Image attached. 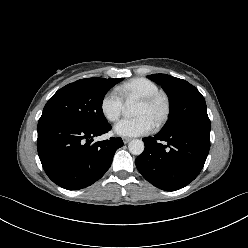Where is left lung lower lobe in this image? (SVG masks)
I'll return each instance as SVG.
<instances>
[{
    "label": "left lung lower lobe",
    "mask_w": 248,
    "mask_h": 248,
    "mask_svg": "<svg viewBox=\"0 0 248 248\" xmlns=\"http://www.w3.org/2000/svg\"><path fill=\"white\" fill-rule=\"evenodd\" d=\"M210 128V120L201 119L171 132L143 138L145 150L135 161L137 169L147 181L162 190L185 187L204 166L210 148Z\"/></svg>",
    "instance_id": "1"
}]
</instances>
